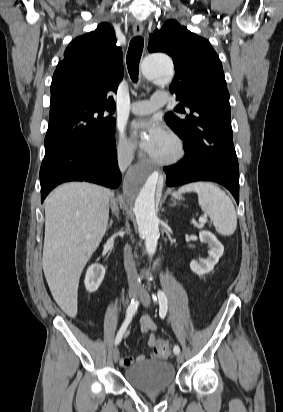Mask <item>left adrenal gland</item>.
I'll return each mask as SVG.
<instances>
[{
	"mask_svg": "<svg viewBox=\"0 0 283 412\" xmlns=\"http://www.w3.org/2000/svg\"><path fill=\"white\" fill-rule=\"evenodd\" d=\"M176 205V201H173V203L170 205V207H174Z\"/></svg>",
	"mask_w": 283,
	"mask_h": 412,
	"instance_id": "obj_1",
	"label": "left adrenal gland"
}]
</instances>
